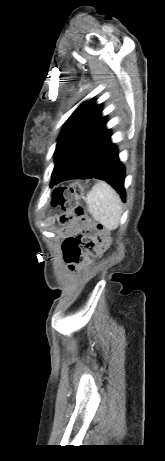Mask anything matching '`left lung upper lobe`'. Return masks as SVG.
Wrapping results in <instances>:
<instances>
[{
  "mask_svg": "<svg viewBox=\"0 0 165 461\" xmlns=\"http://www.w3.org/2000/svg\"><path fill=\"white\" fill-rule=\"evenodd\" d=\"M101 112V105H96L95 101L90 99L78 107L65 122L54 153L55 168L85 133L98 122Z\"/></svg>",
  "mask_w": 165,
  "mask_h": 461,
  "instance_id": "1",
  "label": "left lung upper lobe"
}]
</instances>
